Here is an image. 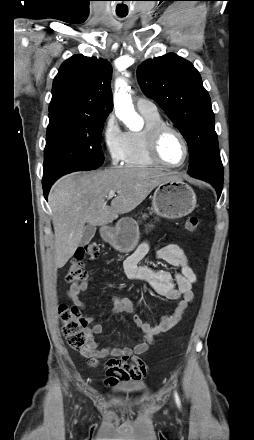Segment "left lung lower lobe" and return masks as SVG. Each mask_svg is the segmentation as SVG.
<instances>
[{
	"label": "left lung lower lobe",
	"instance_id": "left-lung-lower-lobe-1",
	"mask_svg": "<svg viewBox=\"0 0 254 440\" xmlns=\"http://www.w3.org/2000/svg\"><path fill=\"white\" fill-rule=\"evenodd\" d=\"M223 185V184H222ZM222 185H217L216 186V188H217V192H218V195L220 196V194H221V192H222Z\"/></svg>",
	"mask_w": 254,
	"mask_h": 440
}]
</instances>
